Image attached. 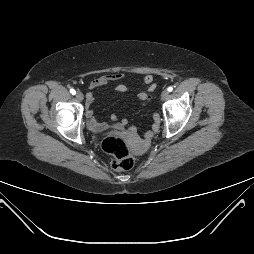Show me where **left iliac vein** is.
<instances>
[{
  "label": "left iliac vein",
  "instance_id": "left-iliac-vein-1",
  "mask_svg": "<svg viewBox=\"0 0 254 254\" xmlns=\"http://www.w3.org/2000/svg\"><path fill=\"white\" fill-rule=\"evenodd\" d=\"M169 96V92L167 90H164L162 93H161V99L162 100H166Z\"/></svg>",
  "mask_w": 254,
  "mask_h": 254
}]
</instances>
